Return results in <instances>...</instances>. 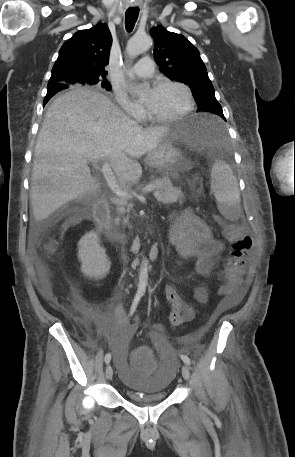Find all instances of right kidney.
<instances>
[{
  "label": "right kidney",
  "instance_id": "obj_1",
  "mask_svg": "<svg viewBox=\"0 0 295 457\" xmlns=\"http://www.w3.org/2000/svg\"><path fill=\"white\" fill-rule=\"evenodd\" d=\"M78 258L81 270L89 278L102 279L110 270V261L99 244L98 233H86L78 243Z\"/></svg>",
  "mask_w": 295,
  "mask_h": 457
}]
</instances>
